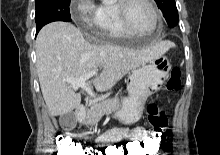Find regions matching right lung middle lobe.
<instances>
[{
    "instance_id": "1",
    "label": "right lung middle lobe",
    "mask_w": 220,
    "mask_h": 155,
    "mask_svg": "<svg viewBox=\"0 0 220 155\" xmlns=\"http://www.w3.org/2000/svg\"><path fill=\"white\" fill-rule=\"evenodd\" d=\"M37 29L53 21H71L70 0H35Z\"/></svg>"
}]
</instances>
